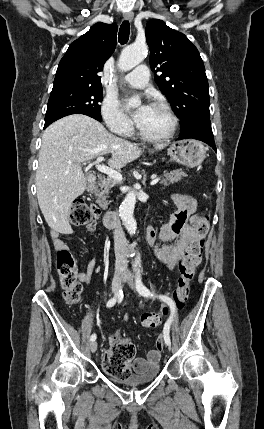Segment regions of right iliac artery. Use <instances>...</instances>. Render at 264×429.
<instances>
[{"mask_svg": "<svg viewBox=\"0 0 264 429\" xmlns=\"http://www.w3.org/2000/svg\"><path fill=\"white\" fill-rule=\"evenodd\" d=\"M122 296H123V292H122V289H120V290L118 291V293L116 294V296H115V297H113L112 299H110V300L107 302L106 306H107V307H112V306H114V305H115V303H116V301H117V299L121 298ZM95 339H96V334H92V335H91V337H90V340H91V341H95Z\"/></svg>", "mask_w": 264, "mask_h": 429, "instance_id": "1", "label": "right iliac artery"}]
</instances>
